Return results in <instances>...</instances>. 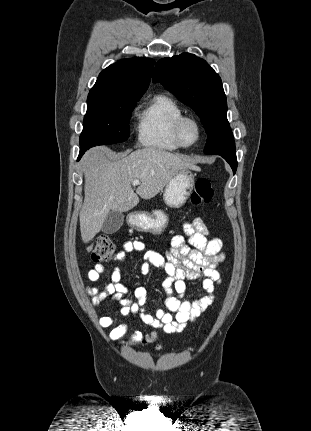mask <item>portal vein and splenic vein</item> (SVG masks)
Returning <instances> with one entry per match:
<instances>
[{
	"label": "portal vein and splenic vein",
	"mask_w": 311,
	"mask_h": 431,
	"mask_svg": "<svg viewBox=\"0 0 311 431\" xmlns=\"http://www.w3.org/2000/svg\"><path fill=\"white\" fill-rule=\"evenodd\" d=\"M140 180H133L132 186H139Z\"/></svg>",
	"instance_id": "obj_1"
}]
</instances>
